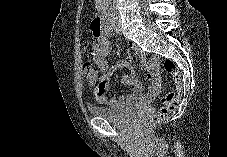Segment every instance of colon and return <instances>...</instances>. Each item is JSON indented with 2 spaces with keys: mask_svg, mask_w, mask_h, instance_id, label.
<instances>
[{
  "mask_svg": "<svg viewBox=\"0 0 227 157\" xmlns=\"http://www.w3.org/2000/svg\"><path fill=\"white\" fill-rule=\"evenodd\" d=\"M93 32L95 35L100 34L97 30H93ZM163 69L173 78L177 92H169L161 98V108L151 118V123L153 124L162 122L168 113L174 111L178 107L179 93L182 89L181 76L176 64L171 60H165L163 62ZM84 73L86 82L89 85L93 86L97 83L99 74L91 65H85Z\"/></svg>",
  "mask_w": 227,
  "mask_h": 157,
  "instance_id": "1",
  "label": "colon"
}]
</instances>
